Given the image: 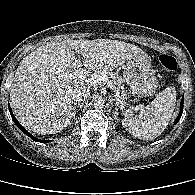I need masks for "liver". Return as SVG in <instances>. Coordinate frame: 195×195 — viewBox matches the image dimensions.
<instances>
[{
    "label": "liver",
    "instance_id": "6515ba94",
    "mask_svg": "<svg viewBox=\"0 0 195 195\" xmlns=\"http://www.w3.org/2000/svg\"><path fill=\"white\" fill-rule=\"evenodd\" d=\"M99 74L112 71L144 51L118 40H64L38 47L20 62L10 89V100L20 123L33 132L56 134L73 117V90L84 81L62 77L82 63Z\"/></svg>",
    "mask_w": 195,
    "mask_h": 195
}]
</instances>
